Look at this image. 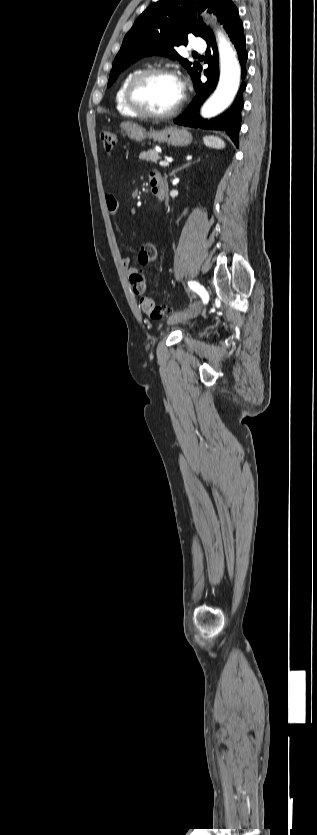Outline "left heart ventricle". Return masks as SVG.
Here are the masks:
<instances>
[{"mask_svg":"<svg viewBox=\"0 0 317 835\" xmlns=\"http://www.w3.org/2000/svg\"><path fill=\"white\" fill-rule=\"evenodd\" d=\"M137 97L148 110L153 112L167 111L180 100L179 82L168 76H153L140 87Z\"/></svg>","mask_w":317,"mask_h":835,"instance_id":"1","label":"left heart ventricle"}]
</instances>
